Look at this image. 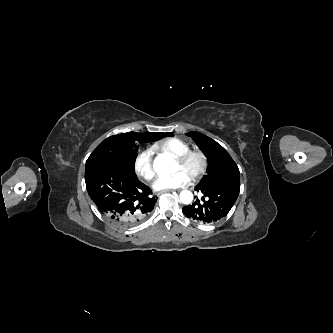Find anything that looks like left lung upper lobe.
I'll return each mask as SVG.
<instances>
[{"label": "left lung upper lobe", "instance_id": "obj_1", "mask_svg": "<svg viewBox=\"0 0 333 333\" xmlns=\"http://www.w3.org/2000/svg\"><path fill=\"white\" fill-rule=\"evenodd\" d=\"M186 135L192 137L208 159L207 174L197 187H209L233 180L240 181V173L236 163L219 143L199 132H189ZM227 195V193L224 194L219 200H223Z\"/></svg>", "mask_w": 333, "mask_h": 333}]
</instances>
